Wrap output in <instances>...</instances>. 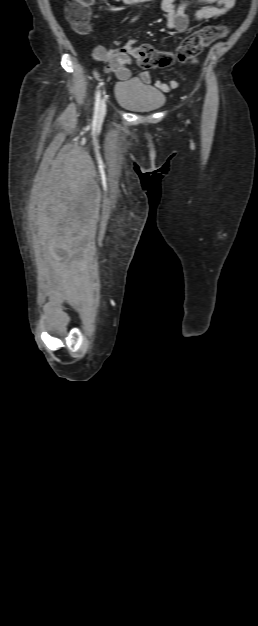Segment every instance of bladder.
Listing matches in <instances>:
<instances>
[{
  "label": "bladder",
  "mask_w": 258,
  "mask_h": 626,
  "mask_svg": "<svg viewBox=\"0 0 258 626\" xmlns=\"http://www.w3.org/2000/svg\"><path fill=\"white\" fill-rule=\"evenodd\" d=\"M116 102L132 111L150 112L162 107L165 95L157 88L144 83L139 78H128L116 84Z\"/></svg>",
  "instance_id": "1"
}]
</instances>
